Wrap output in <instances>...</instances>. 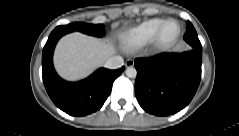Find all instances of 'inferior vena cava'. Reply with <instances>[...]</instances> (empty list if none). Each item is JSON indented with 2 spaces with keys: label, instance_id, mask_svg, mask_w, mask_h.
<instances>
[{
  "label": "inferior vena cava",
  "instance_id": "602c4592",
  "mask_svg": "<svg viewBox=\"0 0 239 136\" xmlns=\"http://www.w3.org/2000/svg\"><path fill=\"white\" fill-rule=\"evenodd\" d=\"M123 64L124 61L121 56H112L105 61L104 67L108 69H118L122 67Z\"/></svg>",
  "mask_w": 239,
  "mask_h": 136
}]
</instances>
